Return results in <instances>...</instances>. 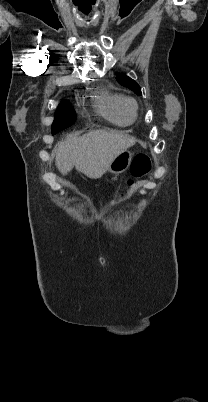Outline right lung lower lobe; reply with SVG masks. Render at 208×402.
I'll use <instances>...</instances> for the list:
<instances>
[{
  "label": "right lung lower lobe",
  "mask_w": 208,
  "mask_h": 402,
  "mask_svg": "<svg viewBox=\"0 0 208 402\" xmlns=\"http://www.w3.org/2000/svg\"><path fill=\"white\" fill-rule=\"evenodd\" d=\"M61 130H62V129H61ZM59 131H60V130H59ZM59 131H58V132H59ZM56 133H57V132H56ZM56 133H55V132H53L52 134H56Z\"/></svg>",
  "instance_id": "obj_1"
}]
</instances>
